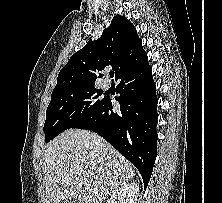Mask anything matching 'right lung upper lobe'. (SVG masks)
<instances>
[{
  "label": "right lung upper lobe",
  "mask_w": 222,
  "mask_h": 203,
  "mask_svg": "<svg viewBox=\"0 0 222 203\" xmlns=\"http://www.w3.org/2000/svg\"><path fill=\"white\" fill-rule=\"evenodd\" d=\"M147 60L133 24L126 17L116 15L98 40H89L80 51L71 56L61 69L53 92L94 85L97 72L107 66H112L117 78Z\"/></svg>",
  "instance_id": "cb5924a9"
}]
</instances>
